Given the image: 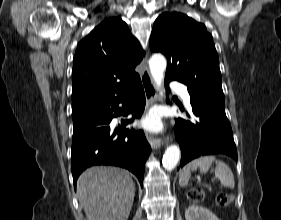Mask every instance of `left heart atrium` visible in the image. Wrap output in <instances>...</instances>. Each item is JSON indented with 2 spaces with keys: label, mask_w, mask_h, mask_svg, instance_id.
<instances>
[{
  "label": "left heart atrium",
  "mask_w": 281,
  "mask_h": 220,
  "mask_svg": "<svg viewBox=\"0 0 281 220\" xmlns=\"http://www.w3.org/2000/svg\"><path fill=\"white\" fill-rule=\"evenodd\" d=\"M141 125L148 131L158 132L162 129L160 116L153 112L147 115L141 122Z\"/></svg>",
  "instance_id": "obj_1"
}]
</instances>
